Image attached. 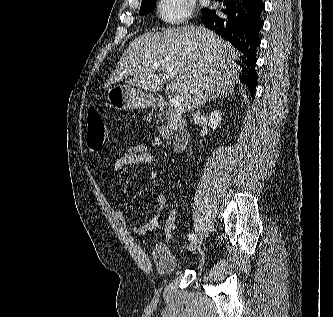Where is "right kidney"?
Returning a JSON list of instances; mask_svg holds the SVG:
<instances>
[{
	"label": "right kidney",
	"instance_id": "1",
	"mask_svg": "<svg viewBox=\"0 0 333 317\" xmlns=\"http://www.w3.org/2000/svg\"><path fill=\"white\" fill-rule=\"evenodd\" d=\"M209 123L208 125L213 129L215 130L221 123V114H220V111H213L210 113L209 115Z\"/></svg>",
	"mask_w": 333,
	"mask_h": 317
}]
</instances>
